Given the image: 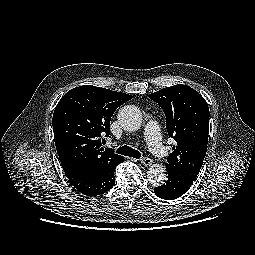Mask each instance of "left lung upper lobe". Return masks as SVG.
<instances>
[{"label":"left lung upper lobe","mask_w":255,"mask_h":255,"mask_svg":"<svg viewBox=\"0 0 255 255\" xmlns=\"http://www.w3.org/2000/svg\"><path fill=\"white\" fill-rule=\"evenodd\" d=\"M148 97L164 110L169 137L176 141L166 166L195 179L207 150V102L201 94L187 85L163 88Z\"/></svg>","instance_id":"5c2ea615"}]
</instances>
